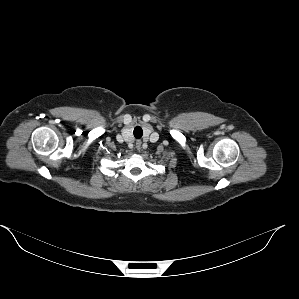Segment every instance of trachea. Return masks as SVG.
Segmentation results:
<instances>
[{"mask_svg": "<svg viewBox=\"0 0 299 299\" xmlns=\"http://www.w3.org/2000/svg\"><path fill=\"white\" fill-rule=\"evenodd\" d=\"M133 134H134V137L135 138H141L142 137V135H143V130H142V128L140 127V126H136L135 128H134V131H133Z\"/></svg>", "mask_w": 299, "mask_h": 299, "instance_id": "3493384b", "label": "trachea"}]
</instances>
